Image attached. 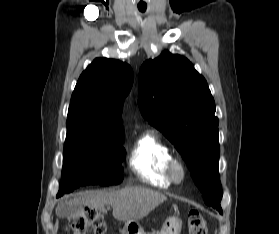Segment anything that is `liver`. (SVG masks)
Wrapping results in <instances>:
<instances>
[{"instance_id":"obj_1","label":"liver","mask_w":279,"mask_h":234,"mask_svg":"<svg viewBox=\"0 0 279 234\" xmlns=\"http://www.w3.org/2000/svg\"><path fill=\"white\" fill-rule=\"evenodd\" d=\"M167 200L162 193L144 187H126L118 191H89L57 207L59 210L67 205L88 206L106 213L105 205L113 208V217L118 221H137L146 217L153 209Z\"/></svg>"}]
</instances>
